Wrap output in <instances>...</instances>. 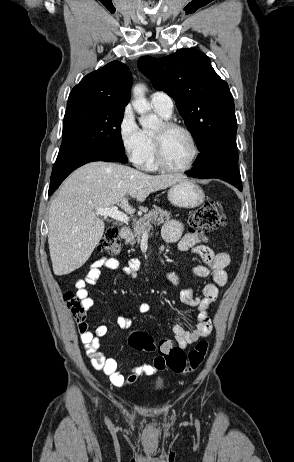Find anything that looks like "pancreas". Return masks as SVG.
I'll list each match as a JSON object with an SVG mask.
<instances>
[{"label":"pancreas","mask_w":294,"mask_h":462,"mask_svg":"<svg viewBox=\"0 0 294 462\" xmlns=\"http://www.w3.org/2000/svg\"><path fill=\"white\" fill-rule=\"evenodd\" d=\"M170 219V213L166 210L160 208L153 209L140 218L133 227V232H131L126 238V242L131 245L135 242H140L142 236L146 231H148L152 224H163Z\"/></svg>","instance_id":"1"}]
</instances>
